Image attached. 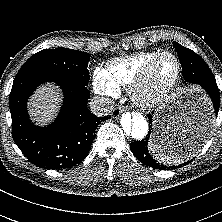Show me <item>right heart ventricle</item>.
<instances>
[{
	"mask_svg": "<svg viewBox=\"0 0 222 222\" xmlns=\"http://www.w3.org/2000/svg\"><path fill=\"white\" fill-rule=\"evenodd\" d=\"M159 53L160 51H148L114 59L107 65L106 74L111 83L119 90L128 88L148 62Z\"/></svg>",
	"mask_w": 222,
	"mask_h": 222,
	"instance_id": "e07e8e85",
	"label": "right heart ventricle"
}]
</instances>
